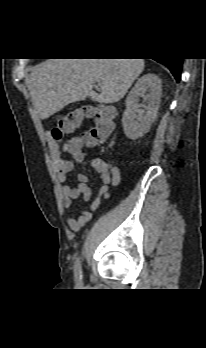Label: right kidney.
<instances>
[{"label": "right kidney", "instance_id": "right-kidney-1", "mask_svg": "<svg viewBox=\"0 0 206 348\" xmlns=\"http://www.w3.org/2000/svg\"><path fill=\"white\" fill-rule=\"evenodd\" d=\"M162 95V81L148 73L140 77L126 97V110L122 116L125 135L132 140L144 136L157 117ZM143 98L144 109L140 110L139 98Z\"/></svg>", "mask_w": 206, "mask_h": 348}]
</instances>
